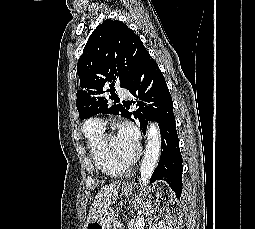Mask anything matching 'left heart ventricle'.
Segmentation results:
<instances>
[{
	"mask_svg": "<svg viewBox=\"0 0 255 229\" xmlns=\"http://www.w3.org/2000/svg\"><path fill=\"white\" fill-rule=\"evenodd\" d=\"M110 153L120 161H128L133 158L136 152L123 145L117 136H111L107 140Z\"/></svg>",
	"mask_w": 255,
	"mask_h": 229,
	"instance_id": "1",
	"label": "left heart ventricle"
}]
</instances>
